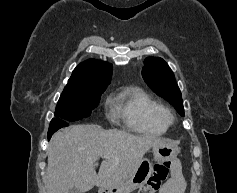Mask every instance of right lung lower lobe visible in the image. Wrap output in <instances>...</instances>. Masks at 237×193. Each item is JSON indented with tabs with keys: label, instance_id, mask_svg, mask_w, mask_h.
<instances>
[{
	"label": "right lung lower lobe",
	"instance_id": "1",
	"mask_svg": "<svg viewBox=\"0 0 237 193\" xmlns=\"http://www.w3.org/2000/svg\"><path fill=\"white\" fill-rule=\"evenodd\" d=\"M69 124L61 119H52L50 126H49V130H48V140H50L51 136L60 128L68 126Z\"/></svg>",
	"mask_w": 237,
	"mask_h": 193
}]
</instances>
